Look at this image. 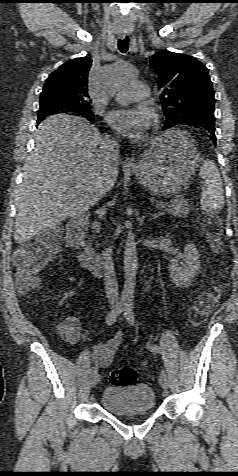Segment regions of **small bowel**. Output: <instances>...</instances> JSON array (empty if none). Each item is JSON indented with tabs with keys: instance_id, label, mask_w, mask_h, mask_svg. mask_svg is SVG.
<instances>
[{
	"instance_id": "c3829d8e",
	"label": "small bowel",
	"mask_w": 238,
	"mask_h": 476,
	"mask_svg": "<svg viewBox=\"0 0 238 476\" xmlns=\"http://www.w3.org/2000/svg\"><path fill=\"white\" fill-rule=\"evenodd\" d=\"M59 335L69 344H76L83 340L82 329L76 317H67L58 325ZM123 334L117 333L109 341L98 343L91 351L92 361L97 368L109 365L120 346Z\"/></svg>"
}]
</instances>
